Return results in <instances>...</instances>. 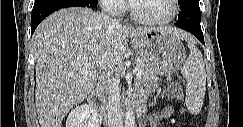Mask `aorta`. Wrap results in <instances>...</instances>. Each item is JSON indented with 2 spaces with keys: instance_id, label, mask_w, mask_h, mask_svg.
Listing matches in <instances>:
<instances>
[{
  "instance_id": "762f6f07",
  "label": "aorta",
  "mask_w": 243,
  "mask_h": 127,
  "mask_svg": "<svg viewBox=\"0 0 243 127\" xmlns=\"http://www.w3.org/2000/svg\"><path fill=\"white\" fill-rule=\"evenodd\" d=\"M125 127H135V115L134 110L130 105L126 107L125 113Z\"/></svg>"
}]
</instances>
